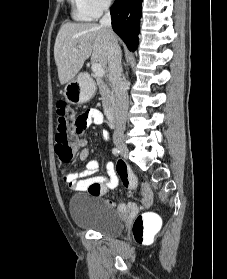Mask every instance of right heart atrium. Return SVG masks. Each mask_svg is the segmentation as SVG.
<instances>
[{
  "mask_svg": "<svg viewBox=\"0 0 227 279\" xmlns=\"http://www.w3.org/2000/svg\"><path fill=\"white\" fill-rule=\"evenodd\" d=\"M84 8L93 18L100 16L111 4L112 0H82Z\"/></svg>",
  "mask_w": 227,
  "mask_h": 279,
  "instance_id": "obj_1",
  "label": "right heart atrium"
}]
</instances>
